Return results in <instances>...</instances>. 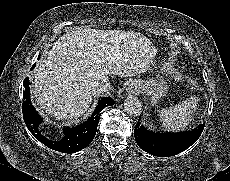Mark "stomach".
<instances>
[{"instance_id": "stomach-1", "label": "stomach", "mask_w": 230, "mask_h": 181, "mask_svg": "<svg viewBox=\"0 0 230 181\" xmlns=\"http://www.w3.org/2000/svg\"><path fill=\"white\" fill-rule=\"evenodd\" d=\"M144 90L151 95V103L156 104L167 92L165 81L161 78L150 79L144 82Z\"/></svg>"}]
</instances>
